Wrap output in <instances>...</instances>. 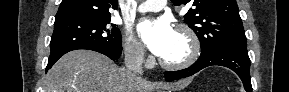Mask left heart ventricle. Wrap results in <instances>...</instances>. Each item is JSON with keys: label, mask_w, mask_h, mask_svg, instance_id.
I'll list each match as a JSON object with an SVG mask.
<instances>
[{"label": "left heart ventricle", "mask_w": 289, "mask_h": 92, "mask_svg": "<svg viewBox=\"0 0 289 92\" xmlns=\"http://www.w3.org/2000/svg\"><path fill=\"white\" fill-rule=\"evenodd\" d=\"M190 51L188 40L181 33L175 32L173 43L162 58L168 62H178L185 59Z\"/></svg>", "instance_id": "left-heart-ventricle-1"}]
</instances>
